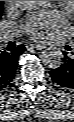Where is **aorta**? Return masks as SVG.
Here are the masks:
<instances>
[{
	"label": "aorta",
	"mask_w": 74,
	"mask_h": 122,
	"mask_svg": "<svg viewBox=\"0 0 74 122\" xmlns=\"http://www.w3.org/2000/svg\"><path fill=\"white\" fill-rule=\"evenodd\" d=\"M49 1H19V5L25 10H36L46 6ZM42 62L50 69H56L63 63V54L59 48L49 47L42 52Z\"/></svg>",
	"instance_id": "1"
}]
</instances>
